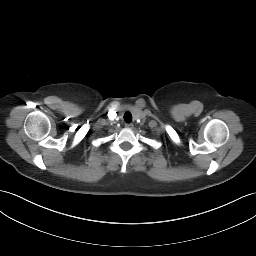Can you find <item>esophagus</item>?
Here are the masks:
<instances>
[{"mask_svg":"<svg viewBox=\"0 0 256 256\" xmlns=\"http://www.w3.org/2000/svg\"><path fill=\"white\" fill-rule=\"evenodd\" d=\"M125 127L128 128V129H132V128H133V124L126 123V124H125Z\"/></svg>","mask_w":256,"mask_h":256,"instance_id":"1","label":"esophagus"}]
</instances>
